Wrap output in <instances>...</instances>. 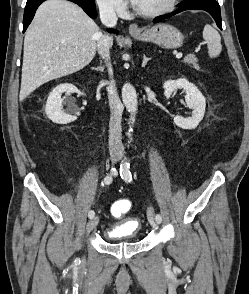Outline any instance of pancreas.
Returning a JSON list of instances; mask_svg holds the SVG:
<instances>
[{
    "mask_svg": "<svg viewBox=\"0 0 249 294\" xmlns=\"http://www.w3.org/2000/svg\"><path fill=\"white\" fill-rule=\"evenodd\" d=\"M184 62L187 64H192L193 68L200 70V67L198 66L197 62V58L194 55H189L184 59Z\"/></svg>",
    "mask_w": 249,
    "mask_h": 294,
    "instance_id": "cf45deb5",
    "label": "pancreas"
}]
</instances>
